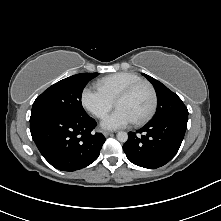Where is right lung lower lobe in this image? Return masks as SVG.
<instances>
[{"mask_svg": "<svg viewBox=\"0 0 221 221\" xmlns=\"http://www.w3.org/2000/svg\"><path fill=\"white\" fill-rule=\"evenodd\" d=\"M96 125L87 114L54 113L30 119V131L37 148L61 171L82 169L98 158L105 137L92 132Z\"/></svg>", "mask_w": 221, "mask_h": 221, "instance_id": "obj_1", "label": "right lung lower lobe"}]
</instances>
